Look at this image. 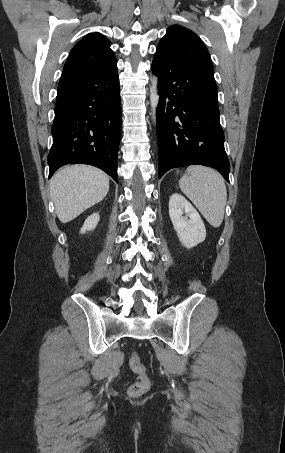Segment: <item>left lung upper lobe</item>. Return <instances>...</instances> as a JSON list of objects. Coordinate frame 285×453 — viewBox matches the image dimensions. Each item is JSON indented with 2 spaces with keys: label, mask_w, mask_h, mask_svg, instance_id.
Returning a JSON list of instances; mask_svg holds the SVG:
<instances>
[{
  "label": "left lung upper lobe",
  "mask_w": 285,
  "mask_h": 453,
  "mask_svg": "<svg viewBox=\"0 0 285 453\" xmlns=\"http://www.w3.org/2000/svg\"><path fill=\"white\" fill-rule=\"evenodd\" d=\"M156 51L169 58L184 61L214 78V68L206 46L193 31L185 27H168Z\"/></svg>",
  "instance_id": "obj_1"
}]
</instances>
